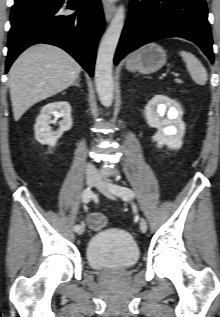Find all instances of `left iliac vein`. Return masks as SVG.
Returning a JSON list of instances; mask_svg holds the SVG:
<instances>
[{
	"mask_svg": "<svg viewBox=\"0 0 220 317\" xmlns=\"http://www.w3.org/2000/svg\"><path fill=\"white\" fill-rule=\"evenodd\" d=\"M118 186L112 183L103 182L101 180H97L95 183V187L104 195L108 197H112V194H114L112 187ZM140 230L145 233L147 231V222L144 218L140 219Z\"/></svg>",
	"mask_w": 220,
	"mask_h": 317,
	"instance_id": "obj_1",
	"label": "left iliac vein"
}]
</instances>
